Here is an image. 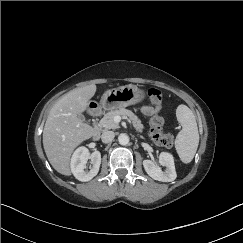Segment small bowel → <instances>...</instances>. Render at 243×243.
<instances>
[{"label": "small bowel", "instance_id": "1", "mask_svg": "<svg viewBox=\"0 0 243 243\" xmlns=\"http://www.w3.org/2000/svg\"><path fill=\"white\" fill-rule=\"evenodd\" d=\"M143 111L147 115H152L155 112L154 107H152V106H146V107H144L143 108Z\"/></svg>", "mask_w": 243, "mask_h": 243}]
</instances>
